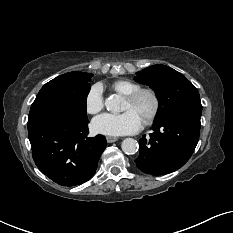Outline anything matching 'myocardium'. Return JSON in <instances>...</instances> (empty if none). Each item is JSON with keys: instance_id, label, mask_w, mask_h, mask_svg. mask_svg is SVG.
I'll return each instance as SVG.
<instances>
[{"instance_id": "1", "label": "myocardium", "mask_w": 233, "mask_h": 233, "mask_svg": "<svg viewBox=\"0 0 233 233\" xmlns=\"http://www.w3.org/2000/svg\"><path fill=\"white\" fill-rule=\"evenodd\" d=\"M143 94H149L152 98V108L150 112L147 114L145 119L143 120V123L145 125L151 124L154 119L156 118L159 108H160V99L158 96V93L150 87H143L139 88L136 91L132 92L131 94L125 96V100L129 102H135L137 101Z\"/></svg>"}]
</instances>
